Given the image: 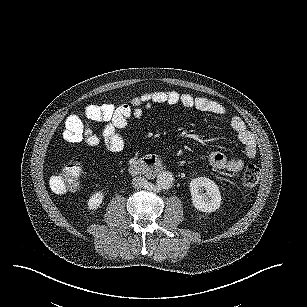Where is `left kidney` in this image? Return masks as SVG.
<instances>
[{"label": "left kidney", "instance_id": "1", "mask_svg": "<svg viewBox=\"0 0 307 307\" xmlns=\"http://www.w3.org/2000/svg\"><path fill=\"white\" fill-rule=\"evenodd\" d=\"M194 206L204 212H212L219 208L221 195L217 185L209 178L199 177L190 183Z\"/></svg>", "mask_w": 307, "mask_h": 307}]
</instances>
